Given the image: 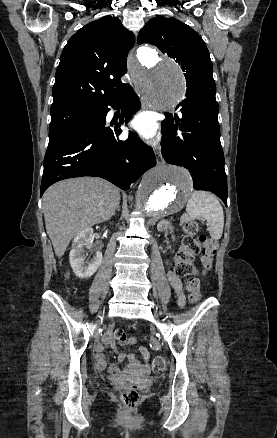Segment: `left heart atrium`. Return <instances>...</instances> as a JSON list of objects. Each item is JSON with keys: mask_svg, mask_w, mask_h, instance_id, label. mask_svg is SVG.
<instances>
[{"mask_svg": "<svg viewBox=\"0 0 277 438\" xmlns=\"http://www.w3.org/2000/svg\"><path fill=\"white\" fill-rule=\"evenodd\" d=\"M135 127L144 136H150L154 132V123L149 114H140L134 121Z\"/></svg>", "mask_w": 277, "mask_h": 438, "instance_id": "39dd6f15", "label": "left heart atrium"}]
</instances>
